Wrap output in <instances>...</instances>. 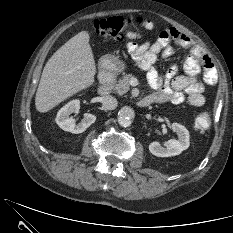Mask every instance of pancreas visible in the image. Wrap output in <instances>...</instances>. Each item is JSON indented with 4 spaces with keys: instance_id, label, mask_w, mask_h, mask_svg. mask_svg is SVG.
<instances>
[{
    "instance_id": "obj_1",
    "label": "pancreas",
    "mask_w": 233,
    "mask_h": 233,
    "mask_svg": "<svg viewBox=\"0 0 233 233\" xmlns=\"http://www.w3.org/2000/svg\"><path fill=\"white\" fill-rule=\"evenodd\" d=\"M133 78L132 74L123 75L121 79L113 80L109 83V88L115 93L122 95L129 91L130 89V80Z\"/></svg>"
}]
</instances>
